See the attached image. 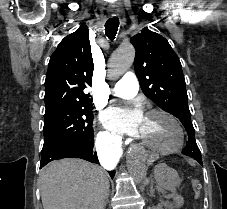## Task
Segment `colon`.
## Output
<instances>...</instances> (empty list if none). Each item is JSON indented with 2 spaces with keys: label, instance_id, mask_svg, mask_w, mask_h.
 <instances>
[{
  "label": "colon",
  "instance_id": "obj_1",
  "mask_svg": "<svg viewBox=\"0 0 227 209\" xmlns=\"http://www.w3.org/2000/svg\"><path fill=\"white\" fill-rule=\"evenodd\" d=\"M193 190L196 195V197L199 195L201 190V185L197 180H193Z\"/></svg>",
  "mask_w": 227,
  "mask_h": 209
}]
</instances>
